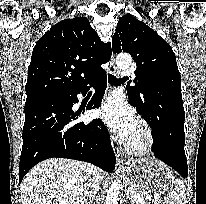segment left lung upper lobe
<instances>
[{
  "label": "left lung upper lobe",
  "instance_id": "1",
  "mask_svg": "<svg viewBox=\"0 0 206 204\" xmlns=\"http://www.w3.org/2000/svg\"><path fill=\"white\" fill-rule=\"evenodd\" d=\"M113 53L128 52L136 61L135 86H127L129 103L151 126L162 128L165 116L183 108L181 77L170 45L142 21L127 14L112 38Z\"/></svg>",
  "mask_w": 206,
  "mask_h": 204
}]
</instances>
